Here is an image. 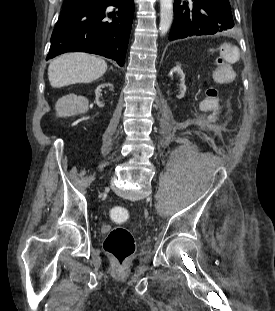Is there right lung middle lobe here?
Returning a JSON list of instances; mask_svg holds the SVG:
<instances>
[{
    "label": "right lung middle lobe",
    "instance_id": "dd1d6c3e",
    "mask_svg": "<svg viewBox=\"0 0 275 311\" xmlns=\"http://www.w3.org/2000/svg\"><path fill=\"white\" fill-rule=\"evenodd\" d=\"M81 1H84V0H81ZM81 1H78V2H81ZM72 4H74V3H72ZM72 4H70V3H64V4H63V7H66V6H69V5H72Z\"/></svg>",
    "mask_w": 275,
    "mask_h": 311
}]
</instances>
